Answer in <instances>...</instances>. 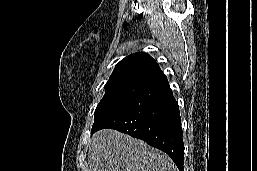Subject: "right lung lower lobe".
Segmentation results:
<instances>
[{"label": "right lung lower lobe", "instance_id": "1", "mask_svg": "<svg viewBox=\"0 0 257 171\" xmlns=\"http://www.w3.org/2000/svg\"><path fill=\"white\" fill-rule=\"evenodd\" d=\"M111 128L144 140L168 154L183 171L184 143L179 106L165 80L136 96L93 133Z\"/></svg>", "mask_w": 257, "mask_h": 171}]
</instances>
